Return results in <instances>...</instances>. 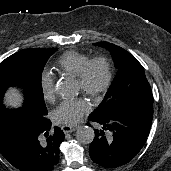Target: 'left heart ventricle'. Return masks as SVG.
<instances>
[{
	"label": "left heart ventricle",
	"mask_w": 171,
	"mask_h": 171,
	"mask_svg": "<svg viewBox=\"0 0 171 171\" xmlns=\"http://www.w3.org/2000/svg\"><path fill=\"white\" fill-rule=\"evenodd\" d=\"M103 79H104V68L102 65L97 64L92 68L91 71V79H90L91 85L93 87H98L103 82ZM77 86L78 89H80V85L78 81H77Z\"/></svg>",
	"instance_id": "obj_1"
}]
</instances>
